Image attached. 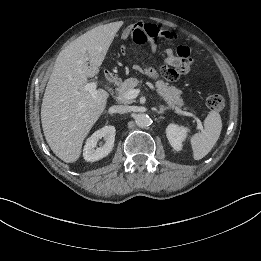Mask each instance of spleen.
Listing matches in <instances>:
<instances>
[{
  "mask_svg": "<svg viewBox=\"0 0 261 261\" xmlns=\"http://www.w3.org/2000/svg\"><path fill=\"white\" fill-rule=\"evenodd\" d=\"M222 130V121L219 113L211 111L204 120V130L194 134L190 141L193 149V158L200 160L205 157L216 144Z\"/></svg>",
  "mask_w": 261,
  "mask_h": 261,
  "instance_id": "3e777b00",
  "label": "spleen"
}]
</instances>
